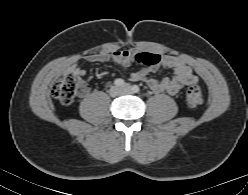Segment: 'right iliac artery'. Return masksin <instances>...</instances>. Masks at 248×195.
<instances>
[{"label":"right iliac artery","mask_w":248,"mask_h":195,"mask_svg":"<svg viewBox=\"0 0 248 195\" xmlns=\"http://www.w3.org/2000/svg\"><path fill=\"white\" fill-rule=\"evenodd\" d=\"M114 84H115L116 86H124L126 83H125V81H124L123 79H116V80L114 81Z\"/></svg>","instance_id":"82829eb1"}]
</instances>
